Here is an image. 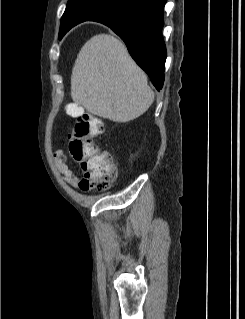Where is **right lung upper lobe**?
<instances>
[{"label": "right lung upper lobe", "instance_id": "1", "mask_svg": "<svg viewBox=\"0 0 245 319\" xmlns=\"http://www.w3.org/2000/svg\"><path fill=\"white\" fill-rule=\"evenodd\" d=\"M84 0H69L66 10L61 19V28L66 27L64 32L66 33L70 28L77 25L80 22L91 20L94 17L81 7V2ZM60 35H64L61 33Z\"/></svg>", "mask_w": 245, "mask_h": 319}]
</instances>
